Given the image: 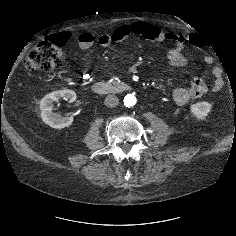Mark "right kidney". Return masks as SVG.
<instances>
[{"mask_svg": "<svg viewBox=\"0 0 236 236\" xmlns=\"http://www.w3.org/2000/svg\"><path fill=\"white\" fill-rule=\"evenodd\" d=\"M60 98L69 102H74L76 99V93L69 89L53 91L44 96L40 101L41 118L43 122L55 129L68 127L74 120L72 116L62 117L52 112L53 102L58 101Z\"/></svg>", "mask_w": 236, "mask_h": 236, "instance_id": "1", "label": "right kidney"}]
</instances>
